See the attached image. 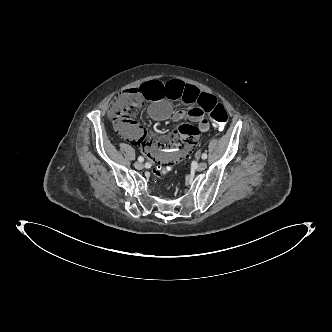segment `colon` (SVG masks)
I'll return each instance as SVG.
<instances>
[{"label":"colon","instance_id":"obj_1","mask_svg":"<svg viewBox=\"0 0 332 332\" xmlns=\"http://www.w3.org/2000/svg\"><path fill=\"white\" fill-rule=\"evenodd\" d=\"M142 105L143 99L140 96L139 89H129L119 94L110 106V114L116 128L119 131H131L135 125L132 117ZM209 113L215 127L222 128L226 125L228 114L222 104L216 102L209 110ZM177 162L159 163L153 168V175L157 178L167 175Z\"/></svg>","mask_w":332,"mask_h":332}]
</instances>
